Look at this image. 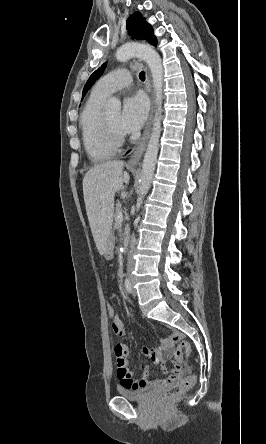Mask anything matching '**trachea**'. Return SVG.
<instances>
[{
    "label": "trachea",
    "mask_w": 266,
    "mask_h": 444,
    "mask_svg": "<svg viewBox=\"0 0 266 444\" xmlns=\"http://www.w3.org/2000/svg\"><path fill=\"white\" fill-rule=\"evenodd\" d=\"M139 78H140L142 81L145 80V72H144V71H141V72L139 73Z\"/></svg>",
    "instance_id": "1"
}]
</instances>
